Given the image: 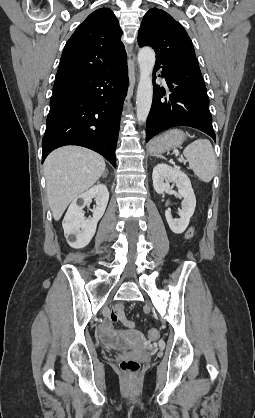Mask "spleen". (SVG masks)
Returning <instances> with one entry per match:
<instances>
[{
	"label": "spleen",
	"mask_w": 255,
	"mask_h": 418,
	"mask_svg": "<svg viewBox=\"0 0 255 418\" xmlns=\"http://www.w3.org/2000/svg\"><path fill=\"white\" fill-rule=\"evenodd\" d=\"M189 161V168L203 182L208 183L216 171V157L209 140L198 139L189 144L183 151Z\"/></svg>",
	"instance_id": "obj_1"
}]
</instances>
